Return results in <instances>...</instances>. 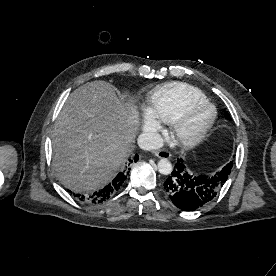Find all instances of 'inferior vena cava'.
<instances>
[{
    "instance_id": "inferior-vena-cava-1",
    "label": "inferior vena cava",
    "mask_w": 276,
    "mask_h": 276,
    "mask_svg": "<svg viewBox=\"0 0 276 276\" xmlns=\"http://www.w3.org/2000/svg\"><path fill=\"white\" fill-rule=\"evenodd\" d=\"M138 145L143 150H157L163 147V138L155 132L142 133L138 137Z\"/></svg>"
}]
</instances>
